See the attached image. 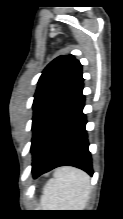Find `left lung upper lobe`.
Wrapping results in <instances>:
<instances>
[{
    "label": "left lung upper lobe",
    "instance_id": "left-lung-upper-lobe-1",
    "mask_svg": "<svg viewBox=\"0 0 123 219\" xmlns=\"http://www.w3.org/2000/svg\"><path fill=\"white\" fill-rule=\"evenodd\" d=\"M82 82V65L73 55L59 56L44 69L34 95L31 151L47 120Z\"/></svg>",
    "mask_w": 123,
    "mask_h": 219
}]
</instances>
